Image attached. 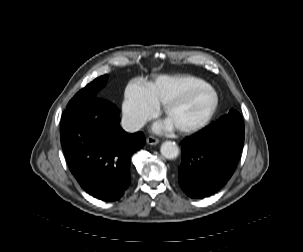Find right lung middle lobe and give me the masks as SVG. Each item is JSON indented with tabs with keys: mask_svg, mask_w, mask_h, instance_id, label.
Returning <instances> with one entry per match:
<instances>
[{
	"mask_svg": "<svg viewBox=\"0 0 303 252\" xmlns=\"http://www.w3.org/2000/svg\"><path fill=\"white\" fill-rule=\"evenodd\" d=\"M108 75L96 78L90 84L81 89L68 103L67 109L75 106H79L88 101L95 99L97 92L105 85L107 82Z\"/></svg>",
	"mask_w": 303,
	"mask_h": 252,
	"instance_id": "1",
	"label": "right lung middle lobe"
}]
</instances>
